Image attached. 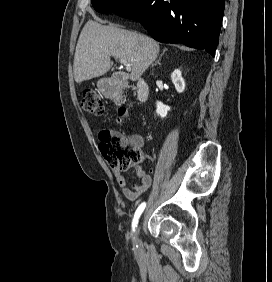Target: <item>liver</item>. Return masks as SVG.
<instances>
[{
  "label": "liver",
  "instance_id": "1",
  "mask_svg": "<svg viewBox=\"0 0 272 282\" xmlns=\"http://www.w3.org/2000/svg\"><path fill=\"white\" fill-rule=\"evenodd\" d=\"M159 54L152 38L116 26L88 21L83 27L75 51L73 73L77 83L100 77L112 66L111 56L127 61L130 79L138 80Z\"/></svg>",
  "mask_w": 272,
  "mask_h": 282
}]
</instances>
